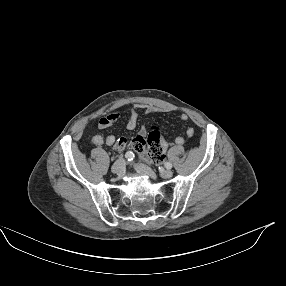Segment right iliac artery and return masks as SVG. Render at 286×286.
I'll list each match as a JSON object with an SVG mask.
<instances>
[{
	"instance_id": "1",
	"label": "right iliac artery",
	"mask_w": 286,
	"mask_h": 286,
	"mask_svg": "<svg viewBox=\"0 0 286 286\" xmlns=\"http://www.w3.org/2000/svg\"><path fill=\"white\" fill-rule=\"evenodd\" d=\"M125 157L128 161H133L134 159V153L131 152V151H128L126 154H125Z\"/></svg>"
}]
</instances>
